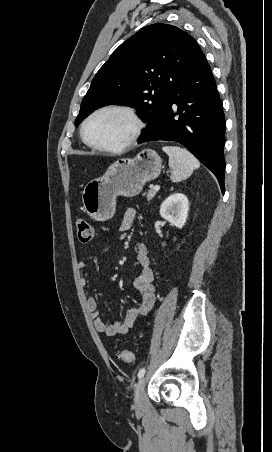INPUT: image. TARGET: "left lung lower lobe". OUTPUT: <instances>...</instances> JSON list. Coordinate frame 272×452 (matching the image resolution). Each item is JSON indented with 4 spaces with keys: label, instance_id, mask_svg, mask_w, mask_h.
Returning a JSON list of instances; mask_svg holds the SVG:
<instances>
[{
    "label": "left lung lower lobe",
    "instance_id": "obj_1",
    "mask_svg": "<svg viewBox=\"0 0 272 452\" xmlns=\"http://www.w3.org/2000/svg\"><path fill=\"white\" fill-rule=\"evenodd\" d=\"M151 140L183 144L214 173L225 192L223 103L199 46L178 76L164 112L139 137V143Z\"/></svg>",
    "mask_w": 272,
    "mask_h": 452
}]
</instances>
